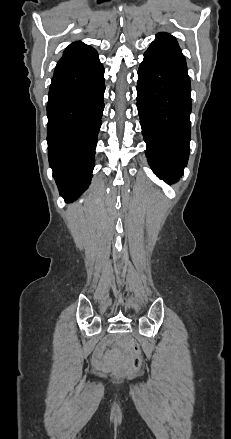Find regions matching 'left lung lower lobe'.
Returning <instances> with one entry per match:
<instances>
[{
  "label": "left lung lower lobe",
  "mask_w": 231,
  "mask_h": 439,
  "mask_svg": "<svg viewBox=\"0 0 231 439\" xmlns=\"http://www.w3.org/2000/svg\"><path fill=\"white\" fill-rule=\"evenodd\" d=\"M190 93L185 57L149 47L138 70L137 109L148 162L168 184L183 175L189 157Z\"/></svg>",
  "instance_id": "obj_1"
}]
</instances>
